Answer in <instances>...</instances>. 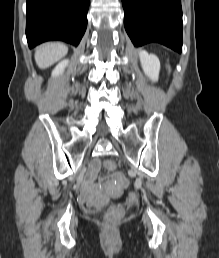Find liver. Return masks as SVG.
<instances>
[{"instance_id":"liver-1","label":"liver","mask_w":219,"mask_h":258,"mask_svg":"<svg viewBox=\"0 0 219 258\" xmlns=\"http://www.w3.org/2000/svg\"><path fill=\"white\" fill-rule=\"evenodd\" d=\"M67 52V46L62 43H47L36 50L35 61L39 68L46 69L63 58Z\"/></svg>"}]
</instances>
